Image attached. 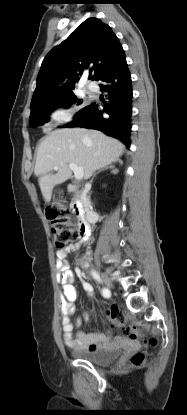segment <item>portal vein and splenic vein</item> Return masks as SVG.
<instances>
[{"label": "portal vein and splenic vein", "instance_id": "18ae733b", "mask_svg": "<svg viewBox=\"0 0 187 415\" xmlns=\"http://www.w3.org/2000/svg\"><path fill=\"white\" fill-rule=\"evenodd\" d=\"M69 168L74 172V176L77 180H81L84 176V171L81 166L75 163H69ZM54 170H58V166H54Z\"/></svg>", "mask_w": 187, "mask_h": 415}]
</instances>
